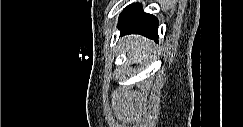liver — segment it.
Here are the masks:
<instances>
[{"mask_svg":"<svg viewBox=\"0 0 243 127\" xmlns=\"http://www.w3.org/2000/svg\"><path fill=\"white\" fill-rule=\"evenodd\" d=\"M126 49L132 61H137L140 64L147 61L152 53L153 42L142 36H127Z\"/></svg>","mask_w":243,"mask_h":127,"instance_id":"6515ba94","label":"liver"}]
</instances>
